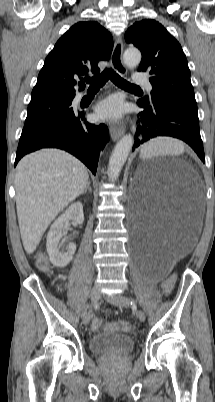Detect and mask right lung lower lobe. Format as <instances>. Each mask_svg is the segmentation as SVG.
Instances as JSON below:
<instances>
[{
  "instance_id": "98d812e1",
  "label": "right lung lower lobe",
  "mask_w": 215,
  "mask_h": 402,
  "mask_svg": "<svg viewBox=\"0 0 215 402\" xmlns=\"http://www.w3.org/2000/svg\"><path fill=\"white\" fill-rule=\"evenodd\" d=\"M108 140L109 132L105 124H90L86 121L85 113L71 112L20 138L15 165L30 152L54 147L76 156L95 175L100 151Z\"/></svg>"
}]
</instances>
